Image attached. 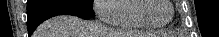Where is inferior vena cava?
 I'll list each match as a JSON object with an SVG mask.
<instances>
[{
  "label": "inferior vena cava",
  "mask_w": 219,
  "mask_h": 37,
  "mask_svg": "<svg viewBox=\"0 0 219 37\" xmlns=\"http://www.w3.org/2000/svg\"><path fill=\"white\" fill-rule=\"evenodd\" d=\"M93 34L96 37H107L111 32L107 28L106 25L102 24L101 22L95 23Z\"/></svg>",
  "instance_id": "obj_1"
}]
</instances>
